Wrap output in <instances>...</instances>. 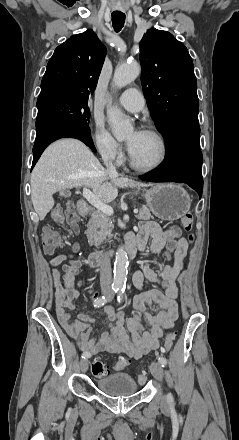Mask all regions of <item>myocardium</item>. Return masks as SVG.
<instances>
[{
	"mask_svg": "<svg viewBox=\"0 0 239 440\" xmlns=\"http://www.w3.org/2000/svg\"><path fill=\"white\" fill-rule=\"evenodd\" d=\"M144 132L152 135L153 137L156 138V140L159 143L160 146V156L158 158V160L156 161V163H154L151 166H143L141 164H139L137 162V160L135 159V157L132 155V153H129V162L131 167L141 173H151L154 171H157L158 169H160L168 156V144L167 141L165 139V137L163 136V134L161 132H159L158 130L154 129V128H147L144 130Z\"/></svg>",
	"mask_w": 239,
	"mask_h": 440,
	"instance_id": "1",
	"label": "myocardium"
}]
</instances>
